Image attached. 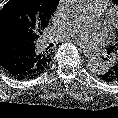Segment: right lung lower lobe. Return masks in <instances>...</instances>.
I'll list each match as a JSON object with an SVG mask.
<instances>
[{
  "label": "right lung lower lobe",
  "instance_id": "obj_1",
  "mask_svg": "<svg viewBox=\"0 0 118 118\" xmlns=\"http://www.w3.org/2000/svg\"><path fill=\"white\" fill-rule=\"evenodd\" d=\"M37 48L28 44L17 32H8L0 37V68L11 77L23 80L37 77Z\"/></svg>",
  "mask_w": 118,
  "mask_h": 118
}]
</instances>
